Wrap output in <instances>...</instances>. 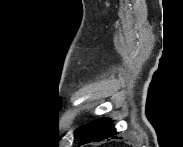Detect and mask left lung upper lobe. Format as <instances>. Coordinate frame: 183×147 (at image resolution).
Wrapping results in <instances>:
<instances>
[{"mask_svg":"<svg viewBox=\"0 0 183 147\" xmlns=\"http://www.w3.org/2000/svg\"><path fill=\"white\" fill-rule=\"evenodd\" d=\"M78 131H79V130H77V131L75 132V135L78 133Z\"/></svg>","mask_w":183,"mask_h":147,"instance_id":"5c2ea615","label":"left lung upper lobe"}]
</instances>
